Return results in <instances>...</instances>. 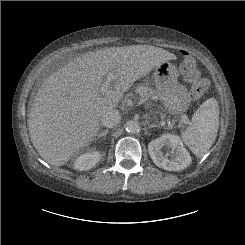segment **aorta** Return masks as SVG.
I'll return each mask as SVG.
<instances>
[{"label":"aorta","mask_w":245,"mask_h":245,"mask_svg":"<svg viewBox=\"0 0 245 245\" xmlns=\"http://www.w3.org/2000/svg\"><path fill=\"white\" fill-rule=\"evenodd\" d=\"M125 129L128 133L135 134V133L139 132L140 126H139V123L137 121L129 120L125 124Z\"/></svg>","instance_id":"1"}]
</instances>
